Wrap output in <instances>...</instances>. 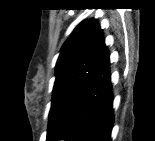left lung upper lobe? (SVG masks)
Wrapping results in <instances>:
<instances>
[{
	"mask_svg": "<svg viewBox=\"0 0 155 141\" xmlns=\"http://www.w3.org/2000/svg\"><path fill=\"white\" fill-rule=\"evenodd\" d=\"M107 47L95 19L82 21L62 46L56 64L47 141H56L65 117L96 72Z\"/></svg>",
	"mask_w": 155,
	"mask_h": 141,
	"instance_id": "obj_1",
	"label": "left lung upper lobe"
}]
</instances>
